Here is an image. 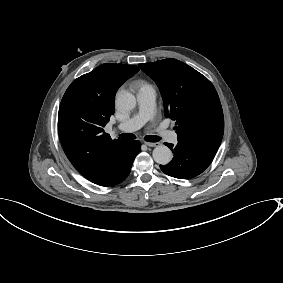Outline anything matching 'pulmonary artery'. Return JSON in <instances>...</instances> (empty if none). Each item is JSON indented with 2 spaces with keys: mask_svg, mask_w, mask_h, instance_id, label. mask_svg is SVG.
Listing matches in <instances>:
<instances>
[{
  "mask_svg": "<svg viewBox=\"0 0 283 283\" xmlns=\"http://www.w3.org/2000/svg\"><path fill=\"white\" fill-rule=\"evenodd\" d=\"M138 110L130 118L120 122L116 129L120 132H134L141 128L148 120L153 117L156 92L150 85H143L137 91ZM165 139L169 143H174L178 139V134L174 130H169L165 134Z\"/></svg>",
  "mask_w": 283,
  "mask_h": 283,
  "instance_id": "e3ab8cb5",
  "label": "pulmonary artery"
}]
</instances>
